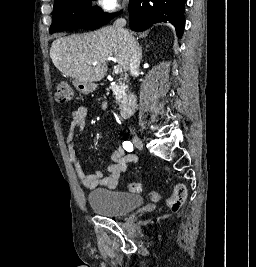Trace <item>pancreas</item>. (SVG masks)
<instances>
[{
    "label": "pancreas",
    "mask_w": 256,
    "mask_h": 267,
    "mask_svg": "<svg viewBox=\"0 0 256 267\" xmlns=\"http://www.w3.org/2000/svg\"><path fill=\"white\" fill-rule=\"evenodd\" d=\"M124 84L121 82V80H117V84H114V86H110V90L113 92V96H115L116 100L115 102H121L123 106L122 100H125L126 94L123 90Z\"/></svg>",
    "instance_id": "cf45deb5"
}]
</instances>
